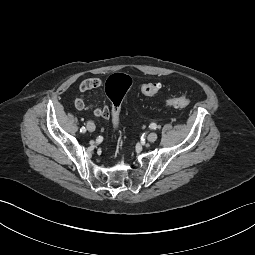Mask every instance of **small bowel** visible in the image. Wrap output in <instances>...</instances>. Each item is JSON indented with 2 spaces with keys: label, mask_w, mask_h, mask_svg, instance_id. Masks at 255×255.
<instances>
[{
  "label": "small bowel",
  "mask_w": 255,
  "mask_h": 255,
  "mask_svg": "<svg viewBox=\"0 0 255 255\" xmlns=\"http://www.w3.org/2000/svg\"><path fill=\"white\" fill-rule=\"evenodd\" d=\"M103 87L102 80L98 78H89L84 80L80 86L79 90L81 93H86L91 90L100 89ZM74 104L77 109L82 110L85 108V100L82 96H76L74 99ZM90 109L92 110L93 114L97 117H102L105 119H109L111 116V108L107 105L97 106L96 104L92 103L90 105Z\"/></svg>",
  "instance_id": "obj_1"
}]
</instances>
